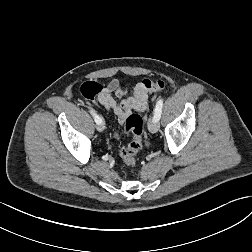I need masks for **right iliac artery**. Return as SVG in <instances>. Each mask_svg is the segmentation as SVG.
Returning <instances> with one entry per match:
<instances>
[{
  "instance_id": "82829eb1",
  "label": "right iliac artery",
  "mask_w": 252,
  "mask_h": 252,
  "mask_svg": "<svg viewBox=\"0 0 252 252\" xmlns=\"http://www.w3.org/2000/svg\"><path fill=\"white\" fill-rule=\"evenodd\" d=\"M90 113H91V115L93 116V118H94V120H95V122H96L97 124H99V123L102 122V118L99 117V115L96 114L95 110H93V109L90 108Z\"/></svg>"
}]
</instances>
